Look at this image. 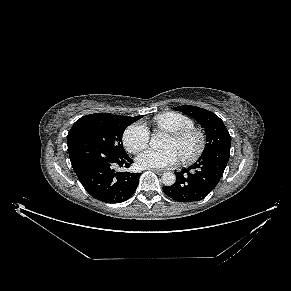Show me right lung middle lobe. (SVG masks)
<instances>
[{
	"label": "right lung middle lobe",
	"instance_id": "right-lung-middle-lobe-1",
	"mask_svg": "<svg viewBox=\"0 0 291 291\" xmlns=\"http://www.w3.org/2000/svg\"><path fill=\"white\" fill-rule=\"evenodd\" d=\"M142 116L127 117L109 113H95L81 117L72 126L67 143L76 139H89L118 154H125L122 145L124 130Z\"/></svg>",
	"mask_w": 291,
	"mask_h": 291
}]
</instances>
